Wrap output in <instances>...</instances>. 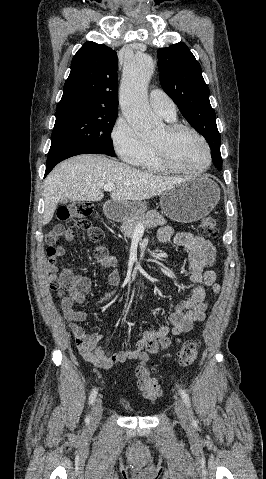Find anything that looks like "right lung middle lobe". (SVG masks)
I'll use <instances>...</instances> for the list:
<instances>
[{
	"label": "right lung middle lobe",
	"mask_w": 266,
	"mask_h": 479,
	"mask_svg": "<svg viewBox=\"0 0 266 479\" xmlns=\"http://www.w3.org/2000/svg\"><path fill=\"white\" fill-rule=\"evenodd\" d=\"M117 115L118 111H70L56 114L51 146L65 145L114 156L111 131Z\"/></svg>",
	"instance_id": "1"
}]
</instances>
